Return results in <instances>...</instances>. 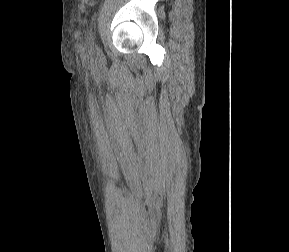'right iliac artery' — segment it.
<instances>
[{"instance_id": "82829eb1", "label": "right iliac artery", "mask_w": 289, "mask_h": 252, "mask_svg": "<svg viewBox=\"0 0 289 252\" xmlns=\"http://www.w3.org/2000/svg\"><path fill=\"white\" fill-rule=\"evenodd\" d=\"M96 49H97V51L99 52V48L97 47Z\"/></svg>"}]
</instances>
